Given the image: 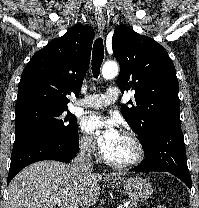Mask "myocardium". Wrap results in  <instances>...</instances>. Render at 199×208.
<instances>
[{
    "instance_id": "obj_1",
    "label": "myocardium",
    "mask_w": 199,
    "mask_h": 208,
    "mask_svg": "<svg viewBox=\"0 0 199 208\" xmlns=\"http://www.w3.org/2000/svg\"><path fill=\"white\" fill-rule=\"evenodd\" d=\"M125 137H127L135 146L136 148V156L129 161H115L107 157L105 154L103 156L104 161L107 165L117 168V169H130L137 165H139L145 158V147L141 139L138 137V135L131 131V130H125L122 133Z\"/></svg>"
}]
</instances>
